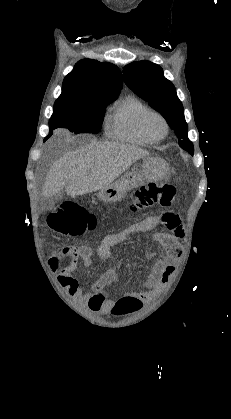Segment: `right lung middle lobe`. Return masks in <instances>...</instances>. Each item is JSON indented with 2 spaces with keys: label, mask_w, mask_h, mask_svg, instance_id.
<instances>
[{
  "label": "right lung middle lobe",
  "mask_w": 231,
  "mask_h": 419,
  "mask_svg": "<svg viewBox=\"0 0 231 419\" xmlns=\"http://www.w3.org/2000/svg\"><path fill=\"white\" fill-rule=\"evenodd\" d=\"M114 99L78 100L59 97L54 104V112L49 120V135L59 127L68 128L75 134L98 133L103 122L105 108ZM45 139V140H46Z\"/></svg>",
  "instance_id": "right-lung-middle-lobe-1"
}]
</instances>
